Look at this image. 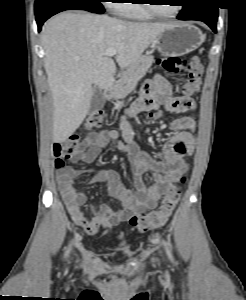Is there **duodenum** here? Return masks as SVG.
<instances>
[{
    "mask_svg": "<svg viewBox=\"0 0 246 300\" xmlns=\"http://www.w3.org/2000/svg\"><path fill=\"white\" fill-rule=\"evenodd\" d=\"M111 96V88L108 87L104 90V97L109 98Z\"/></svg>",
    "mask_w": 246,
    "mask_h": 300,
    "instance_id": "duodenum-1",
    "label": "duodenum"
}]
</instances>
